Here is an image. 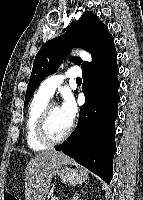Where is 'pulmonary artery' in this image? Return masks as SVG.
Listing matches in <instances>:
<instances>
[{
	"label": "pulmonary artery",
	"instance_id": "pulmonary-artery-1",
	"mask_svg": "<svg viewBox=\"0 0 143 200\" xmlns=\"http://www.w3.org/2000/svg\"><path fill=\"white\" fill-rule=\"evenodd\" d=\"M80 76L81 70L78 67L70 68L65 73L56 74L46 78L40 84L39 91L50 98L66 78L77 79L80 78Z\"/></svg>",
	"mask_w": 143,
	"mask_h": 200
}]
</instances>
